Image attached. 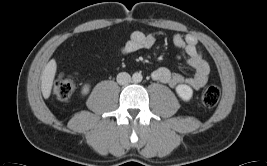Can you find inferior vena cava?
<instances>
[{
  "mask_svg": "<svg viewBox=\"0 0 267 166\" xmlns=\"http://www.w3.org/2000/svg\"><path fill=\"white\" fill-rule=\"evenodd\" d=\"M117 82L120 85H127L131 82V76L126 72H121L117 75Z\"/></svg>",
  "mask_w": 267,
  "mask_h": 166,
  "instance_id": "602c4592",
  "label": "inferior vena cava"
}]
</instances>
